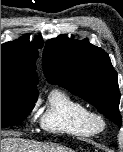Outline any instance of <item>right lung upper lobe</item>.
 Instances as JSON below:
<instances>
[{
    "label": "right lung upper lobe",
    "instance_id": "1",
    "mask_svg": "<svg viewBox=\"0 0 123 152\" xmlns=\"http://www.w3.org/2000/svg\"><path fill=\"white\" fill-rule=\"evenodd\" d=\"M42 42L16 40L1 44V77H10L22 86L36 88L35 61Z\"/></svg>",
    "mask_w": 123,
    "mask_h": 152
}]
</instances>
